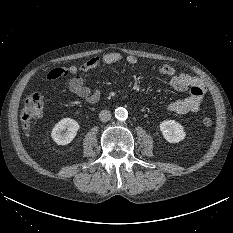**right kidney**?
<instances>
[{"label":"right kidney","mask_w":233,"mask_h":233,"mask_svg":"<svg viewBox=\"0 0 233 233\" xmlns=\"http://www.w3.org/2000/svg\"><path fill=\"white\" fill-rule=\"evenodd\" d=\"M79 128L74 119L63 118L54 126L51 136L56 144L67 145L75 138Z\"/></svg>","instance_id":"1"}]
</instances>
